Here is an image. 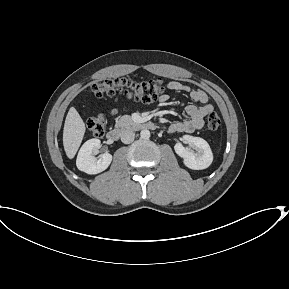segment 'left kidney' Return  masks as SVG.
I'll list each match as a JSON object with an SVG mask.
<instances>
[{
	"mask_svg": "<svg viewBox=\"0 0 289 289\" xmlns=\"http://www.w3.org/2000/svg\"><path fill=\"white\" fill-rule=\"evenodd\" d=\"M183 140L193 149L185 148L181 143L175 145V152L183 159L184 164L193 170L208 168L213 161V154L207 141L190 135L183 136Z\"/></svg>",
	"mask_w": 289,
	"mask_h": 289,
	"instance_id": "obj_1",
	"label": "left kidney"
}]
</instances>
